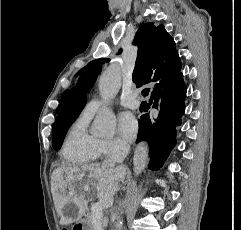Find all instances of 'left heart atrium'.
<instances>
[{
  "label": "left heart atrium",
  "instance_id": "left-heart-atrium-1",
  "mask_svg": "<svg viewBox=\"0 0 241 230\" xmlns=\"http://www.w3.org/2000/svg\"><path fill=\"white\" fill-rule=\"evenodd\" d=\"M138 124L134 116L128 112L122 113L118 120V133L125 141H132L137 134Z\"/></svg>",
  "mask_w": 241,
  "mask_h": 230
}]
</instances>
